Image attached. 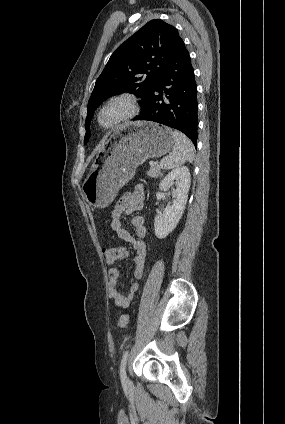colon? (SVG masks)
<instances>
[{
    "mask_svg": "<svg viewBox=\"0 0 285 424\" xmlns=\"http://www.w3.org/2000/svg\"><path fill=\"white\" fill-rule=\"evenodd\" d=\"M103 254L108 263H116L123 259L124 253L122 248L116 246H106L103 248ZM129 323V318L127 314H123L120 316L118 320V325L121 328H126Z\"/></svg>",
    "mask_w": 285,
    "mask_h": 424,
    "instance_id": "obj_1",
    "label": "colon"
}]
</instances>
